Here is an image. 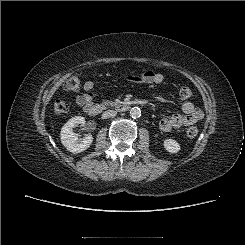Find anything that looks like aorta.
Returning a JSON list of instances; mask_svg holds the SVG:
<instances>
[{"mask_svg":"<svg viewBox=\"0 0 245 245\" xmlns=\"http://www.w3.org/2000/svg\"><path fill=\"white\" fill-rule=\"evenodd\" d=\"M130 115L132 118L136 119V118H139L141 116V110L140 108L138 107H133L131 110H130Z\"/></svg>","mask_w":245,"mask_h":245,"instance_id":"762f6f07","label":"aorta"}]
</instances>
